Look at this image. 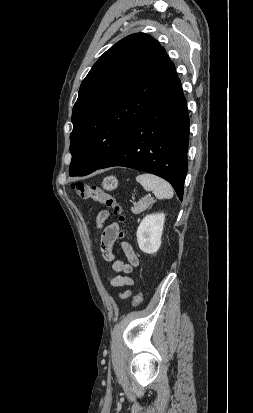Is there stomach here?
Here are the masks:
<instances>
[{"label": "stomach", "instance_id": "obj_1", "mask_svg": "<svg viewBox=\"0 0 253 413\" xmlns=\"http://www.w3.org/2000/svg\"><path fill=\"white\" fill-rule=\"evenodd\" d=\"M117 186H118V180L115 176H108L104 178L102 182L103 189L107 191L114 190L117 188Z\"/></svg>", "mask_w": 253, "mask_h": 413}]
</instances>
